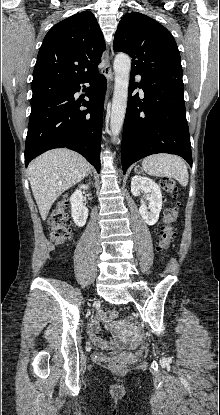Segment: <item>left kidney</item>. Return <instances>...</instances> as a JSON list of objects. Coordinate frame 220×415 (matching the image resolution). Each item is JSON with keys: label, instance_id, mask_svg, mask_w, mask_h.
Wrapping results in <instances>:
<instances>
[{"label": "left kidney", "instance_id": "1", "mask_svg": "<svg viewBox=\"0 0 220 415\" xmlns=\"http://www.w3.org/2000/svg\"><path fill=\"white\" fill-rule=\"evenodd\" d=\"M141 191L147 193L150 204L147 208L145 202L142 200L139 213L145 223L154 225L158 221L159 213L162 209L161 189L152 179L136 175L131 181V192L134 196H140Z\"/></svg>", "mask_w": 220, "mask_h": 415}]
</instances>
